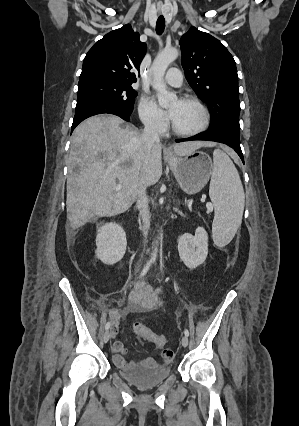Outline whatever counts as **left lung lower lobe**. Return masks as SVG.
<instances>
[{"mask_svg":"<svg viewBox=\"0 0 299 426\" xmlns=\"http://www.w3.org/2000/svg\"><path fill=\"white\" fill-rule=\"evenodd\" d=\"M192 140H206L226 144L236 151V153L239 155V157L244 163V158L240 147V134L234 133L229 130H208L202 134L190 138L177 139L176 142Z\"/></svg>","mask_w":299,"mask_h":426,"instance_id":"obj_1","label":"left lung lower lobe"}]
</instances>
